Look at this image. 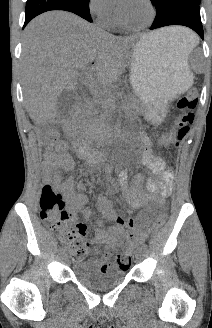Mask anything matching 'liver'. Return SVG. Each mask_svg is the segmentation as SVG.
Returning a JSON list of instances; mask_svg holds the SVG:
<instances>
[{"label":"liver","mask_w":212,"mask_h":328,"mask_svg":"<svg viewBox=\"0 0 212 328\" xmlns=\"http://www.w3.org/2000/svg\"><path fill=\"white\" fill-rule=\"evenodd\" d=\"M184 34L181 27H168L146 36L181 47ZM134 42L132 37L113 36L65 11H49L33 19L24 31L21 59L24 104L33 122H53L59 95L74 90L79 70L92 63L94 78L87 76L85 82L95 93L117 82Z\"/></svg>","instance_id":"6515ba94"}]
</instances>
